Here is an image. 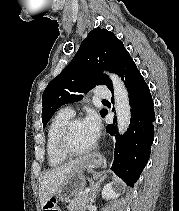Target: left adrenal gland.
Returning a JSON list of instances; mask_svg holds the SVG:
<instances>
[{
	"instance_id": "obj_1",
	"label": "left adrenal gland",
	"mask_w": 179,
	"mask_h": 211,
	"mask_svg": "<svg viewBox=\"0 0 179 211\" xmlns=\"http://www.w3.org/2000/svg\"><path fill=\"white\" fill-rule=\"evenodd\" d=\"M101 180H99L96 184L92 185L91 192L93 194V199L96 198L98 192L100 191Z\"/></svg>"
}]
</instances>
